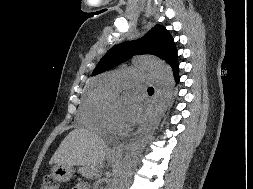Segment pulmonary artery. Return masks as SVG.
Here are the masks:
<instances>
[{
  "mask_svg": "<svg viewBox=\"0 0 253 189\" xmlns=\"http://www.w3.org/2000/svg\"><path fill=\"white\" fill-rule=\"evenodd\" d=\"M151 82V77L146 74L136 72H123L109 78L108 85L113 90H118L126 86H145Z\"/></svg>",
  "mask_w": 253,
  "mask_h": 189,
  "instance_id": "obj_1",
  "label": "pulmonary artery"
}]
</instances>
